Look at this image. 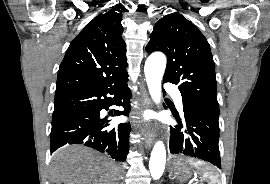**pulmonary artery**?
<instances>
[{
	"instance_id": "1",
	"label": "pulmonary artery",
	"mask_w": 270,
	"mask_h": 184,
	"mask_svg": "<svg viewBox=\"0 0 270 184\" xmlns=\"http://www.w3.org/2000/svg\"><path fill=\"white\" fill-rule=\"evenodd\" d=\"M166 90L172 94L174 100H175V103L176 105L179 107V108H182V97H181V94L180 92L178 91V89L172 85V84H166L165 86Z\"/></svg>"
}]
</instances>
